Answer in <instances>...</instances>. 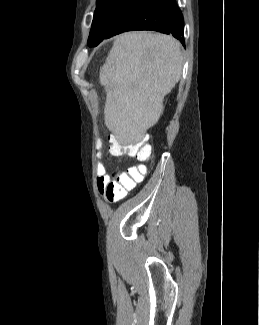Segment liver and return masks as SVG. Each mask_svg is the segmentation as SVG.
Listing matches in <instances>:
<instances>
[{
    "mask_svg": "<svg viewBox=\"0 0 259 325\" xmlns=\"http://www.w3.org/2000/svg\"><path fill=\"white\" fill-rule=\"evenodd\" d=\"M182 67L181 44L172 36L129 32L115 38L99 78L105 125L120 143L140 142L159 120Z\"/></svg>",
    "mask_w": 259,
    "mask_h": 325,
    "instance_id": "1",
    "label": "liver"
}]
</instances>
